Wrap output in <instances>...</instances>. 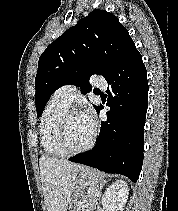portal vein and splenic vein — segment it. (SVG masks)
<instances>
[{
  "label": "portal vein and splenic vein",
  "instance_id": "obj_1",
  "mask_svg": "<svg viewBox=\"0 0 178 211\" xmlns=\"http://www.w3.org/2000/svg\"><path fill=\"white\" fill-rule=\"evenodd\" d=\"M95 196L98 197V196H99V192H96V193H95Z\"/></svg>",
  "mask_w": 178,
  "mask_h": 211
}]
</instances>
